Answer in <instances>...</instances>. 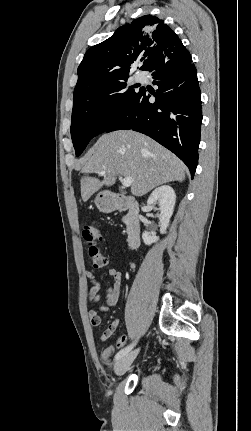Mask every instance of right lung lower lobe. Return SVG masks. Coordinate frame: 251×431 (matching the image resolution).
I'll return each mask as SVG.
<instances>
[{
  "mask_svg": "<svg viewBox=\"0 0 251 431\" xmlns=\"http://www.w3.org/2000/svg\"><path fill=\"white\" fill-rule=\"evenodd\" d=\"M156 92H139L116 116L105 132L132 129L156 140L176 154L189 168L192 178L198 164L201 93L197 73L188 50L182 45L166 50L154 60ZM153 95L155 102H149Z\"/></svg>",
  "mask_w": 251,
  "mask_h": 431,
  "instance_id": "obj_1",
  "label": "right lung lower lobe"
}]
</instances>
